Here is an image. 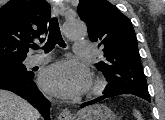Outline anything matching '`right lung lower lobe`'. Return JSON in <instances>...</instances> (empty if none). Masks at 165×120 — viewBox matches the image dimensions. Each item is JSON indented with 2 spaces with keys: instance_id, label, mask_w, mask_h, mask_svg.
I'll return each mask as SVG.
<instances>
[{
  "instance_id": "obj_1",
  "label": "right lung lower lobe",
  "mask_w": 165,
  "mask_h": 120,
  "mask_svg": "<svg viewBox=\"0 0 165 120\" xmlns=\"http://www.w3.org/2000/svg\"><path fill=\"white\" fill-rule=\"evenodd\" d=\"M32 78L0 75V89L12 91L26 99L39 109L45 120H50V102L43 97Z\"/></svg>"
}]
</instances>
